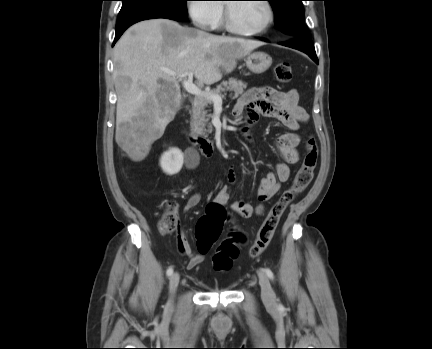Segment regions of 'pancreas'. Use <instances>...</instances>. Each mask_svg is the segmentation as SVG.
Wrapping results in <instances>:
<instances>
[{
    "label": "pancreas",
    "mask_w": 432,
    "mask_h": 349,
    "mask_svg": "<svg viewBox=\"0 0 432 349\" xmlns=\"http://www.w3.org/2000/svg\"><path fill=\"white\" fill-rule=\"evenodd\" d=\"M246 87L247 85L244 82L235 78H230L228 81H222L221 84L216 87V89H213L210 92L213 94L221 95L226 91H231L233 92V98H237L239 95L243 94ZM212 103V100L201 95L196 96L194 99L192 109V125L194 129L199 133L210 134L213 131L212 124L208 123L210 118L212 117V114L209 113L210 110L206 109Z\"/></svg>",
    "instance_id": "obj_1"
}]
</instances>
